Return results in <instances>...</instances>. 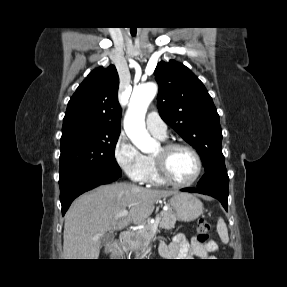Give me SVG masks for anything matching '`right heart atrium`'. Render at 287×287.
<instances>
[{
  "label": "right heart atrium",
  "mask_w": 287,
  "mask_h": 287,
  "mask_svg": "<svg viewBox=\"0 0 287 287\" xmlns=\"http://www.w3.org/2000/svg\"><path fill=\"white\" fill-rule=\"evenodd\" d=\"M114 157L119 167L135 182H142L146 171L145 156L129 140L125 134H120L115 146Z\"/></svg>",
  "instance_id": "1"
}]
</instances>
